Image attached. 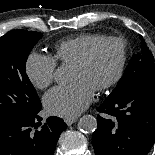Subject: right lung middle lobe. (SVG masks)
Listing matches in <instances>:
<instances>
[{"instance_id": "1", "label": "right lung middle lobe", "mask_w": 155, "mask_h": 155, "mask_svg": "<svg viewBox=\"0 0 155 155\" xmlns=\"http://www.w3.org/2000/svg\"><path fill=\"white\" fill-rule=\"evenodd\" d=\"M41 33L12 30L0 37V121H20L41 110L26 72L27 57Z\"/></svg>"}]
</instances>
